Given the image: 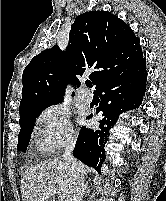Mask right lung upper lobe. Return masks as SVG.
Wrapping results in <instances>:
<instances>
[{"label":"right lung upper lobe","mask_w":166,"mask_h":201,"mask_svg":"<svg viewBox=\"0 0 166 201\" xmlns=\"http://www.w3.org/2000/svg\"><path fill=\"white\" fill-rule=\"evenodd\" d=\"M143 58L140 40L131 28L108 11L85 12L75 18L64 52L55 45L36 55L22 75L19 114L58 104L70 82L87 71L96 87L110 74Z\"/></svg>","instance_id":"cb5924a9"}]
</instances>
